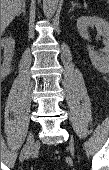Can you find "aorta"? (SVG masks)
<instances>
[{
    "label": "aorta",
    "mask_w": 109,
    "mask_h": 170,
    "mask_svg": "<svg viewBox=\"0 0 109 170\" xmlns=\"http://www.w3.org/2000/svg\"><path fill=\"white\" fill-rule=\"evenodd\" d=\"M58 2L59 0H43V12L47 18L55 14Z\"/></svg>",
    "instance_id": "obj_1"
}]
</instances>
